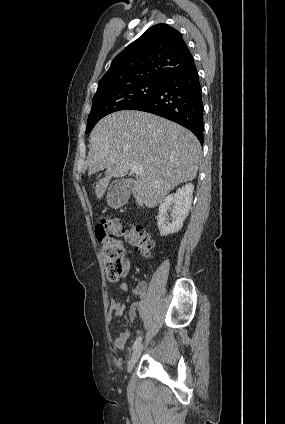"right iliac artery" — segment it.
Listing matches in <instances>:
<instances>
[{"label": "right iliac artery", "mask_w": 285, "mask_h": 424, "mask_svg": "<svg viewBox=\"0 0 285 424\" xmlns=\"http://www.w3.org/2000/svg\"><path fill=\"white\" fill-rule=\"evenodd\" d=\"M141 341H142V336H139V337L135 340V342H134V344H133V350H134V349H136V348L139 346V344L141 343Z\"/></svg>", "instance_id": "right-iliac-artery-1"}]
</instances>
